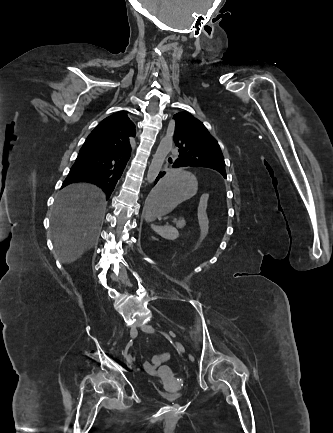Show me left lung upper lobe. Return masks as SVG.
<instances>
[{"instance_id": "5c2ea615", "label": "left lung upper lobe", "mask_w": 333, "mask_h": 433, "mask_svg": "<svg viewBox=\"0 0 333 433\" xmlns=\"http://www.w3.org/2000/svg\"><path fill=\"white\" fill-rule=\"evenodd\" d=\"M175 120L174 141L179 148L176 159L181 167H206L215 169L226 178L225 162L220 146L206 127L192 114L179 112Z\"/></svg>"}]
</instances>
